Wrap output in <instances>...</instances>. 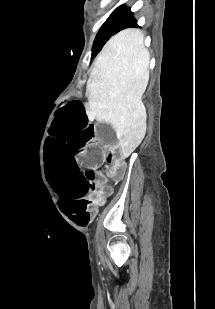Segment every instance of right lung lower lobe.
Wrapping results in <instances>:
<instances>
[{"label": "right lung lower lobe", "mask_w": 215, "mask_h": 309, "mask_svg": "<svg viewBox=\"0 0 215 309\" xmlns=\"http://www.w3.org/2000/svg\"><path fill=\"white\" fill-rule=\"evenodd\" d=\"M136 26H137V21L134 19L133 13L130 12V10L128 9L121 19L120 30L129 28V27H136Z\"/></svg>", "instance_id": "obj_1"}]
</instances>
